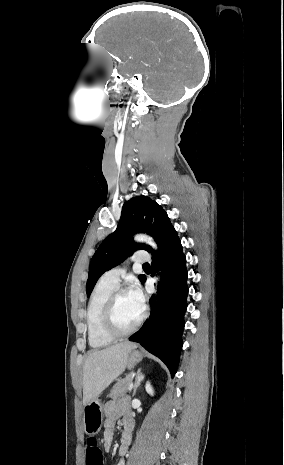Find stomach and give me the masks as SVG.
<instances>
[{
    "label": "stomach",
    "mask_w": 284,
    "mask_h": 465,
    "mask_svg": "<svg viewBox=\"0 0 284 465\" xmlns=\"http://www.w3.org/2000/svg\"><path fill=\"white\" fill-rule=\"evenodd\" d=\"M143 355L139 351H130L127 357V367L128 369H133L137 363L142 361ZM103 405L100 399H94L91 403L84 405L83 409V427L86 435L93 437L101 431L103 425Z\"/></svg>",
    "instance_id": "obj_1"
}]
</instances>
